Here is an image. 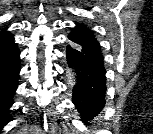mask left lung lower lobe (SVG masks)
Returning a JSON list of instances; mask_svg holds the SVG:
<instances>
[{"mask_svg": "<svg viewBox=\"0 0 153 134\" xmlns=\"http://www.w3.org/2000/svg\"><path fill=\"white\" fill-rule=\"evenodd\" d=\"M66 57L75 69L77 85L72 100L85 124L99 114L105 104L106 70L102 53L85 47L67 46Z\"/></svg>", "mask_w": 153, "mask_h": 134, "instance_id": "left-lung-lower-lobe-1", "label": "left lung lower lobe"}]
</instances>
